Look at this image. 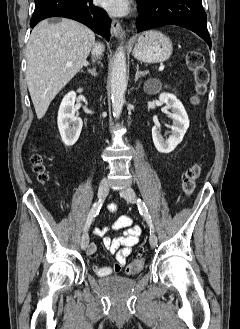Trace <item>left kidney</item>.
I'll list each match as a JSON object with an SVG mask.
<instances>
[{
	"instance_id": "5707ae66",
	"label": "left kidney",
	"mask_w": 240,
	"mask_h": 329,
	"mask_svg": "<svg viewBox=\"0 0 240 329\" xmlns=\"http://www.w3.org/2000/svg\"><path fill=\"white\" fill-rule=\"evenodd\" d=\"M161 89V83L157 79L147 81L144 85V90L150 94H156ZM159 100L166 104V108L172 110L170 117L173 119L171 128V135L168 139H164L159 128L154 126L152 128V139L156 149L160 153H170L183 140V137L189 127V118L182 103L177 97L170 93H161Z\"/></svg>"
}]
</instances>
